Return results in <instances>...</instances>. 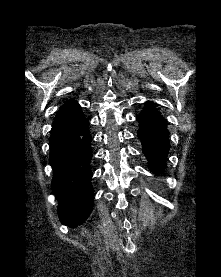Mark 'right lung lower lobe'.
<instances>
[{
	"label": "right lung lower lobe",
	"instance_id": "right-lung-lower-lobe-1",
	"mask_svg": "<svg viewBox=\"0 0 221 277\" xmlns=\"http://www.w3.org/2000/svg\"><path fill=\"white\" fill-rule=\"evenodd\" d=\"M80 105L69 99L56 114L50 136L52 189L62 224H81L93 208L91 135Z\"/></svg>",
	"mask_w": 221,
	"mask_h": 277
}]
</instances>
